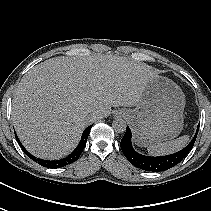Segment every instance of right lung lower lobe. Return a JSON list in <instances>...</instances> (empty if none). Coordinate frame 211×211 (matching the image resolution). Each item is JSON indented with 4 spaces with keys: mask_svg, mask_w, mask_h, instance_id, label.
<instances>
[{
    "mask_svg": "<svg viewBox=\"0 0 211 211\" xmlns=\"http://www.w3.org/2000/svg\"><path fill=\"white\" fill-rule=\"evenodd\" d=\"M90 130H91V126H88L83 134H82V137H81V140L78 144V146L75 148V150L69 154L67 157L63 158V159H60V160H54V161H50V160H44V159H40V158H36L35 156L31 155L24 147L23 145L21 144L20 140L18 139L17 135L16 136V139L19 143V145L21 146V148L23 149L24 153L29 157L31 158L32 160H34L35 162H37L38 164H40L41 166H44V167H48V168H59V167H64L68 164H71L73 162H75L81 155L83 149L85 148L86 146V141H87V138L89 136V133H90Z\"/></svg>",
    "mask_w": 211,
    "mask_h": 211,
    "instance_id": "98d812e1",
    "label": "right lung lower lobe"
}]
</instances>
